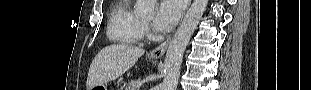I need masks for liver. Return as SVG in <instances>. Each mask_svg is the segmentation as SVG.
<instances>
[{
    "mask_svg": "<svg viewBox=\"0 0 311 90\" xmlns=\"http://www.w3.org/2000/svg\"><path fill=\"white\" fill-rule=\"evenodd\" d=\"M144 53L142 48L129 44H113L103 48L90 65L87 90L122 76Z\"/></svg>",
    "mask_w": 311,
    "mask_h": 90,
    "instance_id": "liver-1",
    "label": "liver"
}]
</instances>
